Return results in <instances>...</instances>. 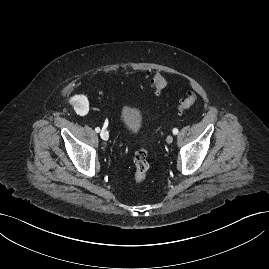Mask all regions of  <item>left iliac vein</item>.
I'll return each instance as SVG.
<instances>
[{"instance_id":"obj_1","label":"left iliac vein","mask_w":269,"mask_h":269,"mask_svg":"<svg viewBox=\"0 0 269 269\" xmlns=\"http://www.w3.org/2000/svg\"><path fill=\"white\" fill-rule=\"evenodd\" d=\"M166 142L168 144L172 143L173 142V137L171 135H169L167 138H166Z\"/></svg>"}]
</instances>
